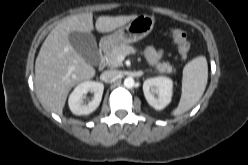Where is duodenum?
Masks as SVG:
<instances>
[{
    "label": "duodenum",
    "instance_id": "410a0bca",
    "mask_svg": "<svg viewBox=\"0 0 248 165\" xmlns=\"http://www.w3.org/2000/svg\"><path fill=\"white\" fill-rule=\"evenodd\" d=\"M108 51H109V46L107 44H104L103 46H101L99 50V64H98L99 70L104 69L106 65V56H107Z\"/></svg>",
    "mask_w": 248,
    "mask_h": 165
}]
</instances>
